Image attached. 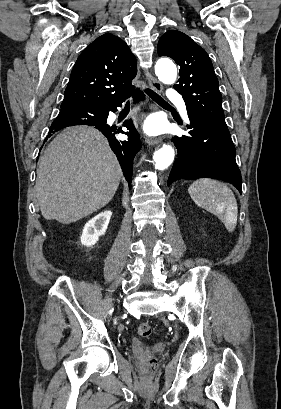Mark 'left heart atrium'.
<instances>
[{
  "label": "left heart atrium",
  "instance_id": "left-heart-atrium-1",
  "mask_svg": "<svg viewBox=\"0 0 281 409\" xmlns=\"http://www.w3.org/2000/svg\"><path fill=\"white\" fill-rule=\"evenodd\" d=\"M143 130L148 135H156L162 131V123L156 117H149L144 125Z\"/></svg>",
  "mask_w": 281,
  "mask_h": 409
}]
</instances>
